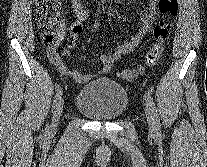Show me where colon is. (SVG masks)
<instances>
[{
    "label": "colon",
    "instance_id": "obj_1",
    "mask_svg": "<svg viewBox=\"0 0 207 167\" xmlns=\"http://www.w3.org/2000/svg\"><path fill=\"white\" fill-rule=\"evenodd\" d=\"M159 10L168 16L175 15L178 10L177 0H159ZM36 20L44 42L49 47L58 45L64 31L61 0H39ZM169 29L168 21H159L153 30L155 44L147 51L143 62L135 68L121 70L119 76L124 80H133L143 75L146 69L154 67L162 55Z\"/></svg>",
    "mask_w": 207,
    "mask_h": 167
}]
</instances>
